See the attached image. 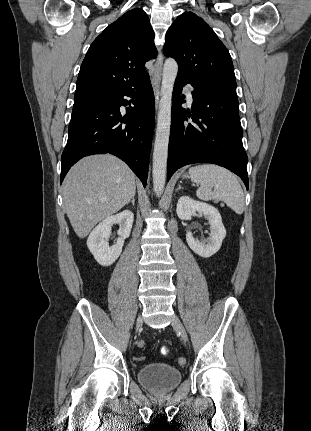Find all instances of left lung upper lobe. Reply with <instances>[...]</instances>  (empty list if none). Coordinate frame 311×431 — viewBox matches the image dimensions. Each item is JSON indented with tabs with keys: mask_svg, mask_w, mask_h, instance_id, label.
I'll use <instances>...</instances> for the list:
<instances>
[{
	"mask_svg": "<svg viewBox=\"0 0 311 431\" xmlns=\"http://www.w3.org/2000/svg\"><path fill=\"white\" fill-rule=\"evenodd\" d=\"M164 55L175 58L178 75L206 87L236 90L231 56L215 32L192 12L180 15L168 29Z\"/></svg>",
	"mask_w": 311,
	"mask_h": 431,
	"instance_id": "1",
	"label": "left lung upper lobe"
}]
</instances>
